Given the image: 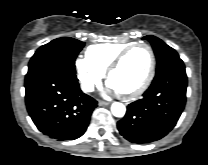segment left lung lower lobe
I'll list each match as a JSON object with an SVG mask.
<instances>
[{
    "label": "left lung lower lobe",
    "instance_id": "obj_1",
    "mask_svg": "<svg viewBox=\"0 0 208 165\" xmlns=\"http://www.w3.org/2000/svg\"><path fill=\"white\" fill-rule=\"evenodd\" d=\"M187 75L183 62L156 72L143 97L127 106L117 123L120 134L133 143L161 139L176 125L186 103Z\"/></svg>",
    "mask_w": 208,
    "mask_h": 165
}]
</instances>
